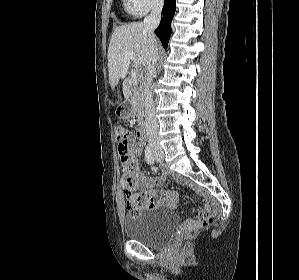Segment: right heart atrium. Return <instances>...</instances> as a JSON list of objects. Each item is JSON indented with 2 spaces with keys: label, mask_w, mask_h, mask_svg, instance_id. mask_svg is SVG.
Returning a JSON list of instances; mask_svg holds the SVG:
<instances>
[{
  "label": "right heart atrium",
  "mask_w": 299,
  "mask_h": 280,
  "mask_svg": "<svg viewBox=\"0 0 299 280\" xmlns=\"http://www.w3.org/2000/svg\"><path fill=\"white\" fill-rule=\"evenodd\" d=\"M133 10L138 14H145L152 9L158 8L164 0H129Z\"/></svg>",
  "instance_id": "1"
}]
</instances>
